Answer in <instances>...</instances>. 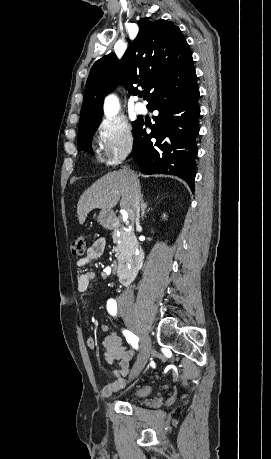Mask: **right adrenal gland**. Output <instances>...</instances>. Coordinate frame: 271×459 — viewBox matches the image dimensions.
Instances as JSON below:
<instances>
[{
	"label": "right adrenal gland",
	"mask_w": 271,
	"mask_h": 459,
	"mask_svg": "<svg viewBox=\"0 0 271 459\" xmlns=\"http://www.w3.org/2000/svg\"><path fill=\"white\" fill-rule=\"evenodd\" d=\"M140 200H141V202H140V204H141V218H144L145 210L147 208V202H144L143 196H141Z\"/></svg>",
	"instance_id": "obj_1"
}]
</instances>
